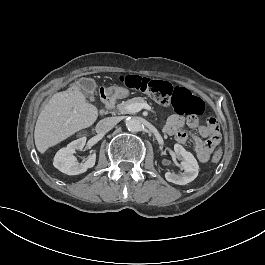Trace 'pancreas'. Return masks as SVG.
Wrapping results in <instances>:
<instances>
[{
    "label": "pancreas",
    "mask_w": 265,
    "mask_h": 265,
    "mask_svg": "<svg viewBox=\"0 0 265 265\" xmlns=\"http://www.w3.org/2000/svg\"><path fill=\"white\" fill-rule=\"evenodd\" d=\"M148 103V98L147 97H135L127 101H123L119 104L116 105V108L118 111L124 113V106L129 105V104H147ZM150 104H152L150 102Z\"/></svg>",
    "instance_id": "pancreas-1"
}]
</instances>
